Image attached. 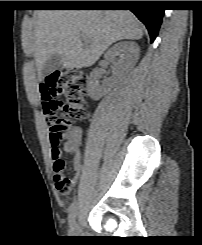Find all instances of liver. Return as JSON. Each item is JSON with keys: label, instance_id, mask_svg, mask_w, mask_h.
I'll use <instances>...</instances> for the list:
<instances>
[{"label": "liver", "instance_id": "liver-1", "mask_svg": "<svg viewBox=\"0 0 202 245\" xmlns=\"http://www.w3.org/2000/svg\"><path fill=\"white\" fill-rule=\"evenodd\" d=\"M143 30L128 10H37L33 24L23 31L22 45L33 52L42 81L43 66L54 53L64 68L92 66L113 43L139 40Z\"/></svg>", "mask_w": 202, "mask_h": 245}]
</instances>
